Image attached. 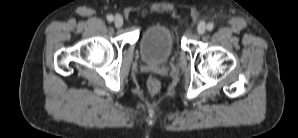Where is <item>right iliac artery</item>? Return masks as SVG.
Listing matches in <instances>:
<instances>
[{
    "mask_svg": "<svg viewBox=\"0 0 298 138\" xmlns=\"http://www.w3.org/2000/svg\"><path fill=\"white\" fill-rule=\"evenodd\" d=\"M107 20H108L109 22L113 21V16H112V15H108V16H107Z\"/></svg>",
    "mask_w": 298,
    "mask_h": 138,
    "instance_id": "82829eb1",
    "label": "right iliac artery"
}]
</instances>
